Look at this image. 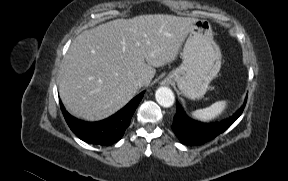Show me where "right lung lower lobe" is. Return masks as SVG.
I'll use <instances>...</instances> for the list:
<instances>
[{"instance_id": "98d812e1", "label": "right lung lower lobe", "mask_w": 288, "mask_h": 181, "mask_svg": "<svg viewBox=\"0 0 288 181\" xmlns=\"http://www.w3.org/2000/svg\"><path fill=\"white\" fill-rule=\"evenodd\" d=\"M143 95L144 92L140 93L119 112L99 122L79 120L65 110L61 101L60 106L68 126L78 138L90 144L109 146L122 138Z\"/></svg>"}]
</instances>
